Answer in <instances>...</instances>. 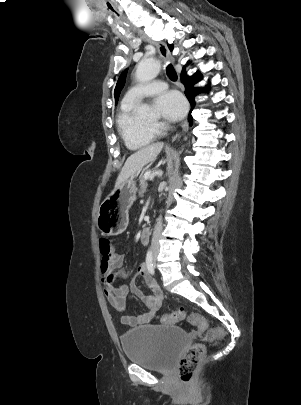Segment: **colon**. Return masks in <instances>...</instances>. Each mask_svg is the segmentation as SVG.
Returning a JSON list of instances; mask_svg holds the SVG:
<instances>
[{"instance_id": "obj_1", "label": "colon", "mask_w": 301, "mask_h": 405, "mask_svg": "<svg viewBox=\"0 0 301 405\" xmlns=\"http://www.w3.org/2000/svg\"><path fill=\"white\" fill-rule=\"evenodd\" d=\"M112 243L107 235H101L99 241L100 251L107 256L112 249ZM158 321L164 325H172L187 320L197 327L203 343H197L190 347L182 356L178 364L179 379L184 384H189L200 362L206 353V344L218 345L223 339L224 333L219 328H208L206 319L198 313L187 314L183 309L164 313L157 316Z\"/></svg>"}]
</instances>
